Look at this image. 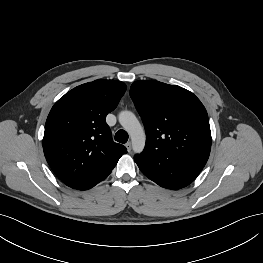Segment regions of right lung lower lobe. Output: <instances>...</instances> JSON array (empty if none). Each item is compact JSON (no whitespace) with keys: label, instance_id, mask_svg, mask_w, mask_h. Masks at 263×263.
Returning a JSON list of instances; mask_svg holds the SVG:
<instances>
[{"label":"right lung lower lobe","instance_id":"obj_1","mask_svg":"<svg viewBox=\"0 0 263 263\" xmlns=\"http://www.w3.org/2000/svg\"><path fill=\"white\" fill-rule=\"evenodd\" d=\"M105 179V178H104ZM103 180V179H102ZM101 180V181H102ZM100 182V181H99ZM98 183V182H97ZM97 183H95V184H93L92 186H89V187H87V188H85V189H83V190H87V189H90V188H92L93 186H95Z\"/></svg>","mask_w":263,"mask_h":263}]
</instances>
